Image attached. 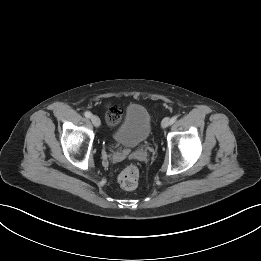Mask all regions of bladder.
<instances>
[{"instance_id":"bladder-1","label":"bladder","mask_w":261,"mask_h":261,"mask_svg":"<svg viewBox=\"0 0 261 261\" xmlns=\"http://www.w3.org/2000/svg\"><path fill=\"white\" fill-rule=\"evenodd\" d=\"M151 116L148 110L140 104H130L121 122L113 131V139L128 148L140 146L151 134Z\"/></svg>"}]
</instances>
